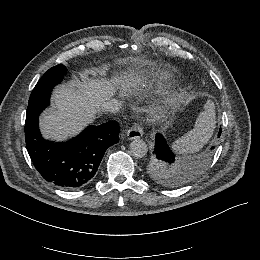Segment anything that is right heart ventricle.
Instances as JSON below:
<instances>
[{
    "label": "right heart ventricle",
    "instance_id": "1",
    "mask_svg": "<svg viewBox=\"0 0 260 260\" xmlns=\"http://www.w3.org/2000/svg\"><path fill=\"white\" fill-rule=\"evenodd\" d=\"M171 77V74L163 69L149 68L145 70V87L150 81L164 80Z\"/></svg>",
    "mask_w": 260,
    "mask_h": 260
}]
</instances>
